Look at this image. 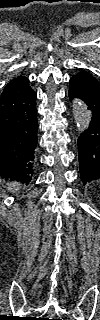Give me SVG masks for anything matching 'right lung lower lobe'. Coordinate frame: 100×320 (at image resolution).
I'll use <instances>...</instances> for the list:
<instances>
[{
	"instance_id": "1",
	"label": "right lung lower lobe",
	"mask_w": 100,
	"mask_h": 320,
	"mask_svg": "<svg viewBox=\"0 0 100 320\" xmlns=\"http://www.w3.org/2000/svg\"><path fill=\"white\" fill-rule=\"evenodd\" d=\"M36 93L29 87L19 96L0 98V173L28 183L37 145Z\"/></svg>"
}]
</instances>
